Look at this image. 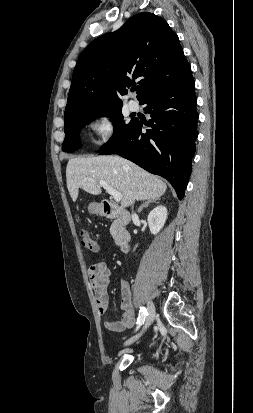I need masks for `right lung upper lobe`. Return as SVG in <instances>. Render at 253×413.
Wrapping results in <instances>:
<instances>
[{
    "instance_id": "1",
    "label": "right lung upper lobe",
    "mask_w": 253,
    "mask_h": 413,
    "mask_svg": "<svg viewBox=\"0 0 253 413\" xmlns=\"http://www.w3.org/2000/svg\"><path fill=\"white\" fill-rule=\"evenodd\" d=\"M191 69L167 22L139 13L117 31L92 41L80 54L65 108V122L87 111L122 107L118 95L138 82L137 99L169 87Z\"/></svg>"
}]
</instances>
